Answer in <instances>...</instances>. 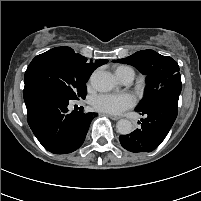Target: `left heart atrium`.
<instances>
[{
	"instance_id": "1",
	"label": "left heart atrium",
	"mask_w": 201,
	"mask_h": 201,
	"mask_svg": "<svg viewBox=\"0 0 201 201\" xmlns=\"http://www.w3.org/2000/svg\"><path fill=\"white\" fill-rule=\"evenodd\" d=\"M133 104V97L127 93L100 94L95 96L92 100L94 109L108 114H119L132 107Z\"/></svg>"
}]
</instances>
